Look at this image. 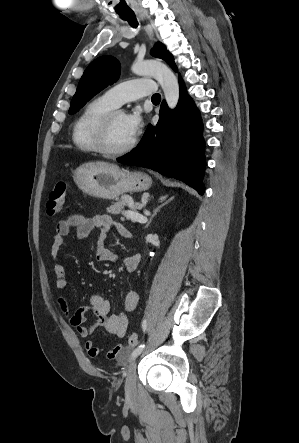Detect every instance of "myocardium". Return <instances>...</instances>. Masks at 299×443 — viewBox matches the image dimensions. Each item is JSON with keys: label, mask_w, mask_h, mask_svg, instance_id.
<instances>
[{"label": "myocardium", "mask_w": 299, "mask_h": 443, "mask_svg": "<svg viewBox=\"0 0 299 443\" xmlns=\"http://www.w3.org/2000/svg\"><path fill=\"white\" fill-rule=\"evenodd\" d=\"M123 113L121 110L113 109L107 112L100 120L96 130V146L98 152L106 157H119L130 152L137 144V137L131 140L125 147L113 150L108 145V138L112 122L117 114Z\"/></svg>", "instance_id": "1"}]
</instances>
